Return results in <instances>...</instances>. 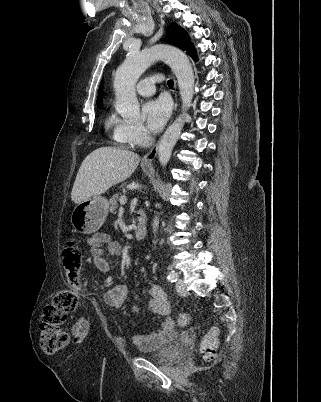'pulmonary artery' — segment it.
<instances>
[{"label": "pulmonary artery", "instance_id": "1", "mask_svg": "<svg viewBox=\"0 0 321 402\" xmlns=\"http://www.w3.org/2000/svg\"><path fill=\"white\" fill-rule=\"evenodd\" d=\"M161 76H154L140 80L136 85V91L142 96H150L155 92V83L161 82Z\"/></svg>", "mask_w": 321, "mask_h": 402}]
</instances>
